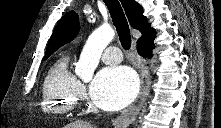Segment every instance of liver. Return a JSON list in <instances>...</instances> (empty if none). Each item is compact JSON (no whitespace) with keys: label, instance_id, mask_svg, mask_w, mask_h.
I'll return each instance as SVG.
<instances>
[{"label":"liver","instance_id":"6515ba94","mask_svg":"<svg viewBox=\"0 0 221 128\" xmlns=\"http://www.w3.org/2000/svg\"><path fill=\"white\" fill-rule=\"evenodd\" d=\"M65 128H92V125L83 121H76L65 126Z\"/></svg>","mask_w":221,"mask_h":128}]
</instances>
